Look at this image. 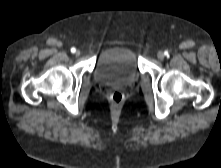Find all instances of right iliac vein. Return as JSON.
<instances>
[{"label":"right iliac vein","instance_id":"63e3f726","mask_svg":"<svg viewBox=\"0 0 221 168\" xmlns=\"http://www.w3.org/2000/svg\"><path fill=\"white\" fill-rule=\"evenodd\" d=\"M75 55H76L77 57L80 56V51L77 50V51L75 52Z\"/></svg>","mask_w":221,"mask_h":168}]
</instances>
